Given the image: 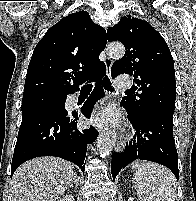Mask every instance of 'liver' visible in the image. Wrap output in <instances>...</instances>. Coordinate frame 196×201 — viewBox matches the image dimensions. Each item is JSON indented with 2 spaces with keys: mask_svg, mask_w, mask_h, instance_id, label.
Here are the masks:
<instances>
[{
  "mask_svg": "<svg viewBox=\"0 0 196 201\" xmlns=\"http://www.w3.org/2000/svg\"><path fill=\"white\" fill-rule=\"evenodd\" d=\"M73 165L57 157H38L19 166L11 182L13 201H56L74 180Z\"/></svg>",
  "mask_w": 196,
  "mask_h": 201,
  "instance_id": "obj_1",
  "label": "liver"
}]
</instances>
